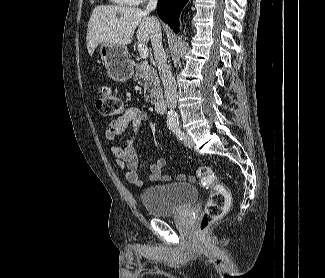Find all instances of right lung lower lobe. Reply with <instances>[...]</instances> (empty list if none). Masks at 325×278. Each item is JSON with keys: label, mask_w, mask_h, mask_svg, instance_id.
Instances as JSON below:
<instances>
[{"label": "right lung lower lobe", "mask_w": 325, "mask_h": 278, "mask_svg": "<svg viewBox=\"0 0 325 278\" xmlns=\"http://www.w3.org/2000/svg\"><path fill=\"white\" fill-rule=\"evenodd\" d=\"M188 0H159L157 14L176 33L179 31V14Z\"/></svg>", "instance_id": "1"}]
</instances>
